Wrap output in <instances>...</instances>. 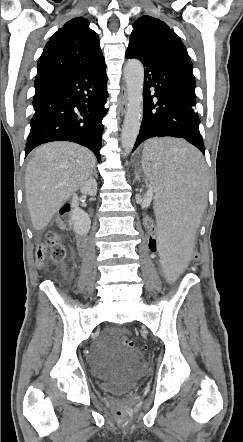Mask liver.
<instances>
[{
	"instance_id": "obj_1",
	"label": "liver",
	"mask_w": 243,
	"mask_h": 442,
	"mask_svg": "<svg viewBox=\"0 0 243 442\" xmlns=\"http://www.w3.org/2000/svg\"><path fill=\"white\" fill-rule=\"evenodd\" d=\"M93 153L78 144L51 142L36 149L25 174L27 208L35 230L44 229L59 208L91 177Z\"/></svg>"
}]
</instances>
